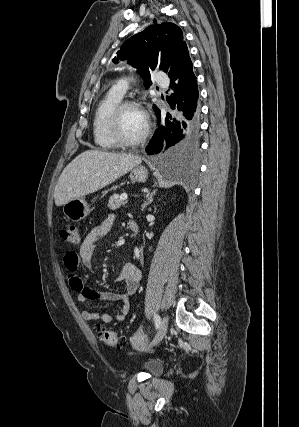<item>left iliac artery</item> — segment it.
<instances>
[{
  "instance_id": "left-iliac-artery-1",
  "label": "left iliac artery",
  "mask_w": 299,
  "mask_h": 427,
  "mask_svg": "<svg viewBox=\"0 0 299 427\" xmlns=\"http://www.w3.org/2000/svg\"><path fill=\"white\" fill-rule=\"evenodd\" d=\"M154 322H155L156 328H159V326L161 324V319H160V316L158 314H154Z\"/></svg>"
}]
</instances>
